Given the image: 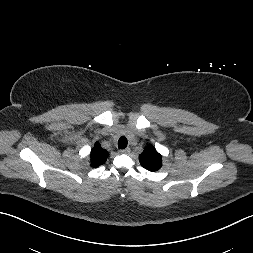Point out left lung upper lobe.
Wrapping results in <instances>:
<instances>
[{"label":"left lung upper lobe","instance_id":"1","mask_svg":"<svg viewBox=\"0 0 253 253\" xmlns=\"http://www.w3.org/2000/svg\"><path fill=\"white\" fill-rule=\"evenodd\" d=\"M141 165L150 171H157L161 165V155L152 145H148L139 155Z\"/></svg>","mask_w":253,"mask_h":253}]
</instances>
